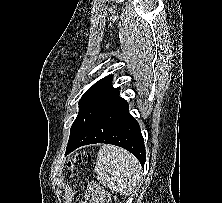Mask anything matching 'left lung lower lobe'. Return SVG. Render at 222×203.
<instances>
[{
    "mask_svg": "<svg viewBox=\"0 0 222 203\" xmlns=\"http://www.w3.org/2000/svg\"><path fill=\"white\" fill-rule=\"evenodd\" d=\"M119 93L118 90L105 101L83 131L68 143L65 155L83 145L107 143L128 150L144 165L145 146L140 126Z\"/></svg>",
    "mask_w": 222,
    "mask_h": 203,
    "instance_id": "1",
    "label": "left lung lower lobe"
}]
</instances>
